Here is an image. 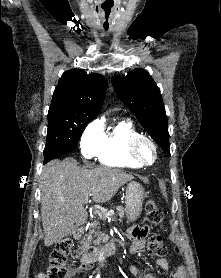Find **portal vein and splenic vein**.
I'll return each instance as SVG.
<instances>
[{
  "mask_svg": "<svg viewBox=\"0 0 221 278\" xmlns=\"http://www.w3.org/2000/svg\"><path fill=\"white\" fill-rule=\"evenodd\" d=\"M85 203H88V199L85 200ZM99 216H101V212L106 216H111L114 214V210L107 211L106 209H102L98 207V210H96Z\"/></svg>",
  "mask_w": 221,
  "mask_h": 278,
  "instance_id": "1",
  "label": "portal vein and splenic vein"
}]
</instances>
